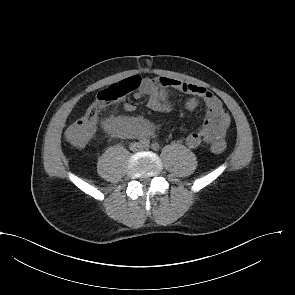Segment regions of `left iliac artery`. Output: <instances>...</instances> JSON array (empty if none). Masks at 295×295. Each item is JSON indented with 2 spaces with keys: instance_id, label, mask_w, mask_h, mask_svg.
Instances as JSON below:
<instances>
[{
  "instance_id": "44dca946",
  "label": "left iliac artery",
  "mask_w": 295,
  "mask_h": 295,
  "mask_svg": "<svg viewBox=\"0 0 295 295\" xmlns=\"http://www.w3.org/2000/svg\"><path fill=\"white\" fill-rule=\"evenodd\" d=\"M151 148H152L154 151H158V150L160 149V145H159V143H157V142H153V143L151 144Z\"/></svg>"
}]
</instances>
